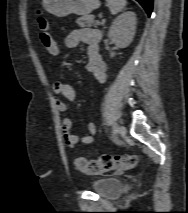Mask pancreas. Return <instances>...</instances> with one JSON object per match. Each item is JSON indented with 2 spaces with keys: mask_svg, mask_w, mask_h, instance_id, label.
<instances>
[{
  "mask_svg": "<svg viewBox=\"0 0 188 213\" xmlns=\"http://www.w3.org/2000/svg\"><path fill=\"white\" fill-rule=\"evenodd\" d=\"M77 24L80 27H90V26H97V23L94 21L93 15H85L77 19Z\"/></svg>",
  "mask_w": 188,
  "mask_h": 213,
  "instance_id": "obj_1",
  "label": "pancreas"
}]
</instances>
